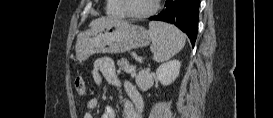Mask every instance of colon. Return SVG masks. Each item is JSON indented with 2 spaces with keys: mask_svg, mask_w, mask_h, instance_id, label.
I'll return each instance as SVG.
<instances>
[{
  "mask_svg": "<svg viewBox=\"0 0 273 118\" xmlns=\"http://www.w3.org/2000/svg\"><path fill=\"white\" fill-rule=\"evenodd\" d=\"M74 88L78 95L82 96L85 94V81L83 77H76L74 81Z\"/></svg>",
  "mask_w": 273,
  "mask_h": 118,
  "instance_id": "5ec220e1",
  "label": "colon"
}]
</instances>
